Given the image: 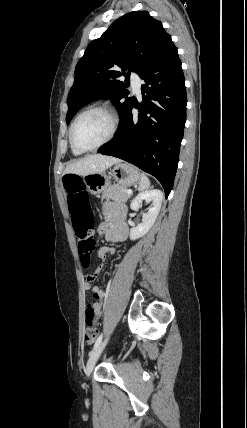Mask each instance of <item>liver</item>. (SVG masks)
<instances>
[{
	"label": "liver",
	"mask_w": 247,
	"mask_h": 428,
	"mask_svg": "<svg viewBox=\"0 0 247 428\" xmlns=\"http://www.w3.org/2000/svg\"><path fill=\"white\" fill-rule=\"evenodd\" d=\"M121 160L116 157L95 154L89 155L85 158L77 160L69 164L64 173L65 174H76L85 176L88 174L98 173L105 171L107 168L111 167L113 164L120 163Z\"/></svg>",
	"instance_id": "6515ba94"
}]
</instances>
